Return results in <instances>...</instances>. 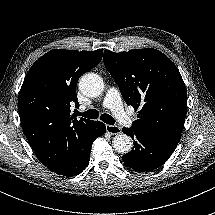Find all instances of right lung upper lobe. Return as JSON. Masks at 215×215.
<instances>
[{"mask_svg":"<svg viewBox=\"0 0 215 215\" xmlns=\"http://www.w3.org/2000/svg\"><path fill=\"white\" fill-rule=\"evenodd\" d=\"M103 49H54L40 57L28 71L18 97L24 134L40 162L55 168L65 157L71 133L90 120L70 115L77 103L79 77L97 66Z\"/></svg>","mask_w":215,"mask_h":215,"instance_id":"cb5924a9","label":"right lung upper lobe"}]
</instances>
